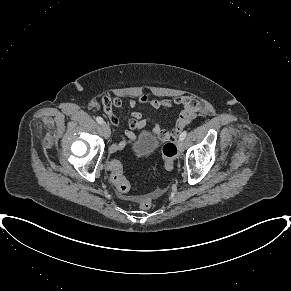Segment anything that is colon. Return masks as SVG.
<instances>
[{
    "label": "colon",
    "instance_id": "obj_1",
    "mask_svg": "<svg viewBox=\"0 0 291 291\" xmlns=\"http://www.w3.org/2000/svg\"><path fill=\"white\" fill-rule=\"evenodd\" d=\"M164 167L170 171L174 167V163L177 157V147L173 141L165 143L161 150ZM108 169L110 173V180L115 186L118 192L127 193L130 190V183L123 174L122 163L118 159H112L108 163ZM153 200L149 195L143 196L139 200V207L142 210H148L152 207Z\"/></svg>",
    "mask_w": 291,
    "mask_h": 291
}]
</instances>
